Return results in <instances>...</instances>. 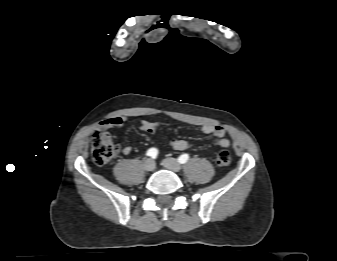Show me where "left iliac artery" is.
Returning a JSON list of instances; mask_svg holds the SVG:
<instances>
[{"label":"left iliac artery","instance_id":"obj_1","mask_svg":"<svg viewBox=\"0 0 337 261\" xmlns=\"http://www.w3.org/2000/svg\"><path fill=\"white\" fill-rule=\"evenodd\" d=\"M189 159V155L188 154H182L179 158H178V161L179 163L181 164H184L188 161Z\"/></svg>","mask_w":337,"mask_h":261}]
</instances>
